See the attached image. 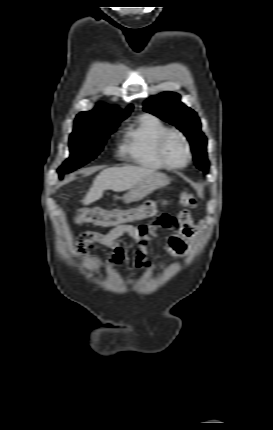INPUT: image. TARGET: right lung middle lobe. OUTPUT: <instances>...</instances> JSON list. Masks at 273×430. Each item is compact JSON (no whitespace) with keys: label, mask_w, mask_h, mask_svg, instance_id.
<instances>
[{"label":"right lung middle lobe","mask_w":273,"mask_h":430,"mask_svg":"<svg viewBox=\"0 0 273 430\" xmlns=\"http://www.w3.org/2000/svg\"><path fill=\"white\" fill-rule=\"evenodd\" d=\"M122 121V120H121ZM119 123H94L75 120L70 135L71 156L59 167V177L70 173L94 159L103 149L109 135L115 132Z\"/></svg>","instance_id":"dd1d6c3e"}]
</instances>
